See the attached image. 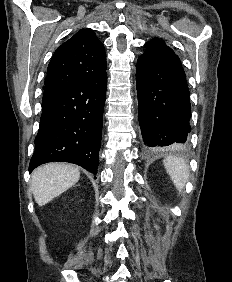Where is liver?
<instances>
[{"instance_id":"1","label":"liver","mask_w":232,"mask_h":282,"mask_svg":"<svg viewBox=\"0 0 232 282\" xmlns=\"http://www.w3.org/2000/svg\"><path fill=\"white\" fill-rule=\"evenodd\" d=\"M80 172L72 165L49 163L34 170L31 176V190L39 206L49 203L75 185Z\"/></svg>"}]
</instances>
